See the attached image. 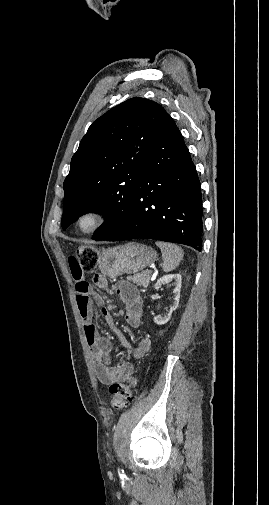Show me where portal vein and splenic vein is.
I'll return each instance as SVG.
<instances>
[{
  "instance_id": "obj_1",
  "label": "portal vein and splenic vein",
  "mask_w": 269,
  "mask_h": 505,
  "mask_svg": "<svg viewBox=\"0 0 269 505\" xmlns=\"http://www.w3.org/2000/svg\"><path fill=\"white\" fill-rule=\"evenodd\" d=\"M149 273H152V271H151V270H149Z\"/></svg>"
}]
</instances>
